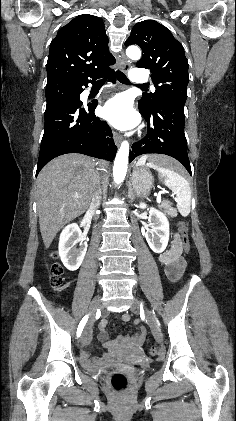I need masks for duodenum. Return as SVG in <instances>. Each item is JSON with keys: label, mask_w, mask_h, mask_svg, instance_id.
I'll list each match as a JSON object with an SVG mask.
<instances>
[{"label": "duodenum", "mask_w": 236, "mask_h": 421, "mask_svg": "<svg viewBox=\"0 0 236 421\" xmlns=\"http://www.w3.org/2000/svg\"><path fill=\"white\" fill-rule=\"evenodd\" d=\"M160 261L166 266L167 274L171 279H175L177 276H179L184 266L180 257V252L175 247H172L170 250L161 254ZM87 342L88 341H86V343ZM110 357V355H105L103 358H96L91 360L89 355L83 353L82 363L87 370L96 371L101 366H103Z\"/></svg>", "instance_id": "duodenum-1"}]
</instances>
